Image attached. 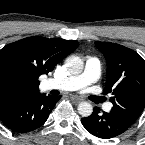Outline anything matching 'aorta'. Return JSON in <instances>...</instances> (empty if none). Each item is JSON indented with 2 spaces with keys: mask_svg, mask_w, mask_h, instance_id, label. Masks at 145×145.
<instances>
[{
  "mask_svg": "<svg viewBox=\"0 0 145 145\" xmlns=\"http://www.w3.org/2000/svg\"><path fill=\"white\" fill-rule=\"evenodd\" d=\"M66 67L72 75H78L83 71L84 63L81 58L71 56L66 60ZM78 112L83 117H88L93 112V107L89 102H81L78 105Z\"/></svg>",
  "mask_w": 145,
  "mask_h": 145,
  "instance_id": "1",
  "label": "aorta"
}]
</instances>
